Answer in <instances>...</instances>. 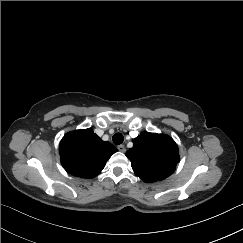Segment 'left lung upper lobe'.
Masks as SVG:
<instances>
[{
  "label": "left lung upper lobe",
  "mask_w": 243,
  "mask_h": 243,
  "mask_svg": "<svg viewBox=\"0 0 243 243\" xmlns=\"http://www.w3.org/2000/svg\"><path fill=\"white\" fill-rule=\"evenodd\" d=\"M135 174L145 182H156L170 176L179 162L178 147L164 134L142 132L126 152Z\"/></svg>",
  "instance_id": "1"
}]
</instances>
